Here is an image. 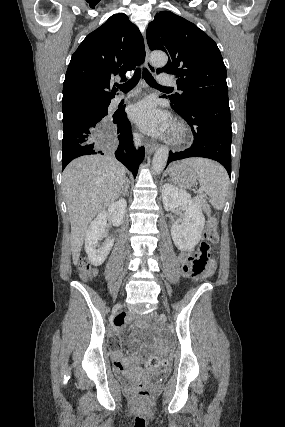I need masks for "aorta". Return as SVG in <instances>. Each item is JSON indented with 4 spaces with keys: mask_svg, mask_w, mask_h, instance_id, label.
Segmentation results:
<instances>
[{
    "mask_svg": "<svg viewBox=\"0 0 285 427\" xmlns=\"http://www.w3.org/2000/svg\"><path fill=\"white\" fill-rule=\"evenodd\" d=\"M150 60L155 66L162 67L166 65L168 57L163 52H153ZM168 155L169 150L166 146H161L156 150L152 160V171L154 174H160L163 171L167 164Z\"/></svg>",
    "mask_w": 285,
    "mask_h": 427,
    "instance_id": "762f6f07",
    "label": "aorta"
}]
</instances>
